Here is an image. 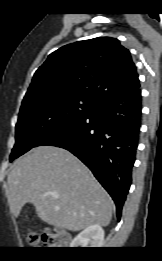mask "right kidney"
<instances>
[{"label":"right kidney","instance_id":"1","mask_svg":"<svg viewBox=\"0 0 162 261\" xmlns=\"http://www.w3.org/2000/svg\"><path fill=\"white\" fill-rule=\"evenodd\" d=\"M104 242V230L98 225L94 224L85 228L80 232L70 243L71 248L77 247H90V248H100Z\"/></svg>","mask_w":162,"mask_h":261}]
</instances>
